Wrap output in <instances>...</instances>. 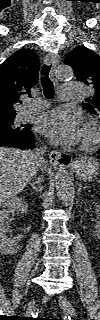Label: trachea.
Here are the masks:
<instances>
[{"label":"trachea","mask_w":100,"mask_h":320,"mask_svg":"<svg viewBox=\"0 0 100 320\" xmlns=\"http://www.w3.org/2000/svg\"><path fill=\"white\" fill-rule=\"evenodd\" d=\"M51 70V65H44L41 71V85L43 87V92L45 97L52 98L54 96L53 83L49 78V72Z\"/></svg>","instance_id":"1"}]
</instances>
